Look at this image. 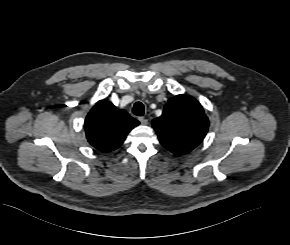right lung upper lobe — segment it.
Returning <instances> with one entry per match:
<instances>
[{"mask_svg": "<svg viewBox=\"0 0 290 245\" xmlns=\"http://www.w3.org/2000/svg\"><path fill=\"white\" fill-rule=\"evenodd\" d=\"M139 121L111 102L101 100L88 113L85 131L88 142L102 152L117 149Z\"/></svg>", "mask_w": 290, "mask_h": 245, "instance_id": "cb5924a9", "label": "right lung upper lobe"}]
</instances>
